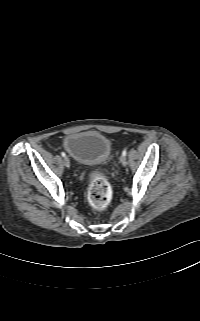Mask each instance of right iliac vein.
<instances>
[{
  "label": "right iliac vein",
  "mask_w": 200,
  "mask_h": 321,
  "mask_svg": "<svg viewBox=\"0 0 200 321\" xmlns=\"http://www.w3.org/2000/svg\"><path fill=\"white\" fill-rule=\"evenodd\" d=\"M64 165H65L66 167H70V160H69L68 157H65V158H64Z\"/></svg>",
  "instance_id": "63e3f726"
}]
</instances>
